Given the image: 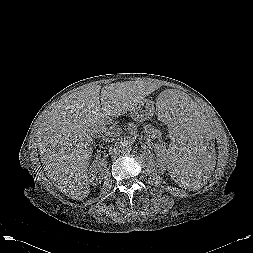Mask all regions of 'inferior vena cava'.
<instances>
[{"instance_id":"602c4592","label":"inferior vena cava","mask_w":253,"mask_h":253,"mask_svg":"<svg viewBox=\"0 0 253 253\" xmlns=\"http://www.w3.org/2000/svg\"><path fill=\"white\" fill-rule=\"evenodd\" d=\"M102 127H103V126H101V127H95V128H93V131L100 130ZM119 153H120V151H119V148H118V143H116L113 147H110V149H109V154H110L111 156H116V155H118Z\"/></svg>"}]
</instances>
